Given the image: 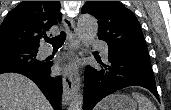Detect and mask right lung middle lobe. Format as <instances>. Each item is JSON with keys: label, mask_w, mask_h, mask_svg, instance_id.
Returning <instances> with one entry per match:
<instances>
[{"label": "right lung middle lobe", "mask_w": 171, "mask_h": 110, "mask_svg": "<svg viewBox=\"0 0 171 110\" xmlns=\"http://www.w3.org/2000/svg\"><path fill=\"white\" fill-rule=\"evenodd\" d=\"M38 49L26 47H0V72L21 67H40L45 62L38 61L35 57Z\"/></svg>", "instance_id": "obj_1"}]
</instances>
